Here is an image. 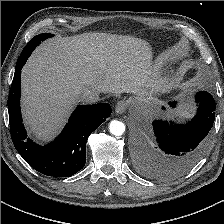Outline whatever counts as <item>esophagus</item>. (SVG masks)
<instances>
[{"label":"esophagus","instance_id":"esophagus-1","mask_svg":"<svg viewBox=\"0 0 224 224\" xmlns=\"http://www.w3.org/2000/svg\"><path fill=\"white\" fill-rule=\"evenodd\" d=\"M127 108H128L127 101L122 99V100L117 102L116 107H115V111H116L117 114H122L127 110Z\"/></svg>","mask_w":224,"mask_h":224}]
</instances>
